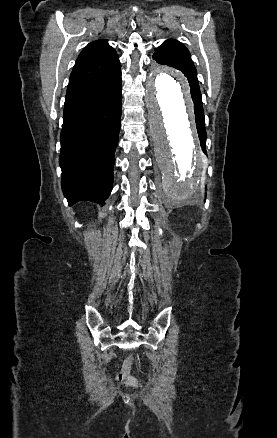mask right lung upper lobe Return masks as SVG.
Instances as JSON below:
<instances>
[{"label": "right lung upper lobe", "instance_id": "obj_1", "mask_svg": "<svg viewBox=\"0 0 277 438\" xmlns=\"http://www.w3.org/2000/svg\"><path fill=\"white\" fill-rule=\"evenodd\" d=\"M121 65L106 40L89 43L80 53L70 75L67 92L114 75Z\"/></svg>", "mask_w": 277, "mask_h": 438}]
</instances>
